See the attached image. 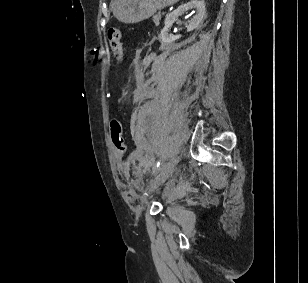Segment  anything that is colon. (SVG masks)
<instances>
[{
  "mask_svg": "<svg viewBox=\"0 0 308 283\" xmlns=\"http://www.w3.org/2000/svg\"><path fill=\"white\" fill-rule=\"evenodd\" d=\"M107 38L111 51L116 58H121L123 54L122 33L117 28H109ZM110 135L114 147L118 152L124 153L126 150L124 129L119 119H113L110 122Z\"/></svg>",
  "mask_w": 308,
  "mask_h": 283,
  "instance_id": "1",
  "label": "colon"
}]
</instances>
